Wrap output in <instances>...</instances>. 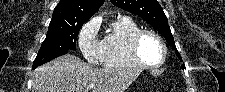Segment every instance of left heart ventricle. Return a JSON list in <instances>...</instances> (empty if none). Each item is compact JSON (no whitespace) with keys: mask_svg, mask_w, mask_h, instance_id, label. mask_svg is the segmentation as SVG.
Returning <instances> with one entry per match:
<instances>
[{"mask_svg":"<svg viewBox=\"0 0 225 92\" xmlns=\"http://www.w3.org/2000/svg\"><path fill=\"white\" fill-rule=\"evenodd\" d=\"M139 52L142 59L148 64H156L162 58V47L152 36L146 35L139 44Z\"/></svg>","mask_w":225,"mask_h":92,"instance_id":"1","label":"left heart ventricle"}]
</instances>
